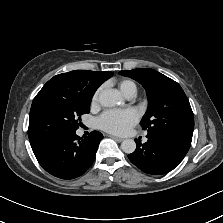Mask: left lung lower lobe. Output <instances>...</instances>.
Returning <instances> with one entry per match:
<instances>
[{
  "mask_svg": "<svg viewBox=\"0 0 223 223\" xmlns=\"http://www.w3.org/2000/svg\"><path fill=\"white\" fill-rule=\"evenodd\" d=\"M148 141H136V150L128 155L130 161L143 172L153 175L165 174L173 170L183 160L191 142L177 137L148 133Z\"/></svg>",
  "mask_w": 223,
  "mask_h": 223,
  "instance_id": "0a47b994",
  "label": "left lung lower lobe"
}]
</instances>
